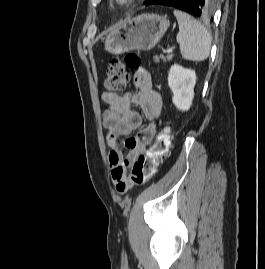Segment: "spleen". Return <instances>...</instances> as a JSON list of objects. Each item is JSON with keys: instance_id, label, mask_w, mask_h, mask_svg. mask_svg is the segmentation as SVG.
I'll use <instances>...</instances> for the list:
<instances>
[{"instance_id": "3e777b00", "label": "spleen", "mask_w": 265, "mask_h": 269, "mask_svg": "<svg viewBox=\"0 0 265 269\" xmlns=\"http://www.w3.org/2000/svg\"><path fill=\"white\" fill-rule=\"evenodd\" d=\"M173 13L179 25L176 40L182 57L190 61L207 59L211 48V33L188 13L180 10H174Z\"/></svg>"}]
</instances>
